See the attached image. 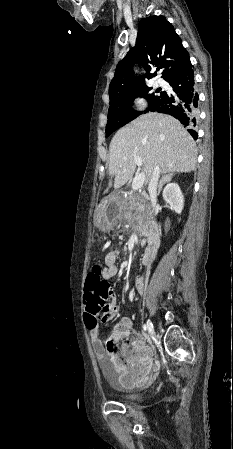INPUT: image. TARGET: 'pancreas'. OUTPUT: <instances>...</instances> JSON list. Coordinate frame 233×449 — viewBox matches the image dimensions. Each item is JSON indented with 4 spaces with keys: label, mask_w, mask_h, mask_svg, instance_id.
<instances>
[{
    "label": "pancreas",
    "mask_w": 233,
    "mask_h": 449,
    "mask_svg": "<svg viewBox=\"0 0 233 449\" xmlns=\"http://www.w3.org/2000/svg\"><path fill=\"white\" fill-rule=\"evenodd\" d=\"M123 217L130 226L144 233L146 227L152 224L153 216L150 205L143 195L129 193L123 201Z\"/></svg>",
    "instance_id": "1"
}]
</instances>
